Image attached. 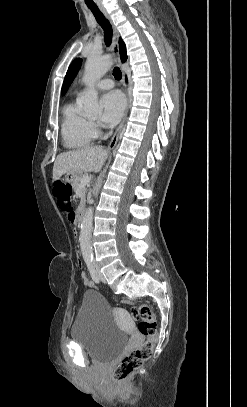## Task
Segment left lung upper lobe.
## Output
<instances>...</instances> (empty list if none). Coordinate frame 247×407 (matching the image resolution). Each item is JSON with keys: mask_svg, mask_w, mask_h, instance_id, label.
Segmentation results:
<instances>
[{"mask_svg": "<svg viewBox=\"0 0 247 407\" xmlns=\"http://www.w3.org/2000/svg\"><path fill=\"white\" fill-rule=\"evenodd\" d=\"M81 62L82 60L80 58L75 59L72 64L69 66V69L67 71V74L65 76L63 86H62V95L66 93L68 90L69 86L73 82L74 78L76 77L80 67H81Z\"/></svg>", "mask_w": 247, "mask_h": 407, "instance_id": "5c2ea615", "label": "left lung upper lobe"}]
</instances>
